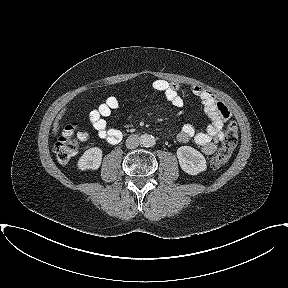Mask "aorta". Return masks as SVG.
<instances>
[{
	"instance_id": "762f6f07",
	"label": "aorta",
	"mask_w": 288,
	"mask_h": 288,
	"mask_svg": "<svg viewBox=\"0 0 288 288\" xmlns=\"http://www.w3.org/2000/svg\"><path fill=\"white\" fill-rule=\"evenodd\" d=\"M140 143L144 146V147H152L155 145L156 140L155 137L149 134H144L140 137Z\"/></svg>"
}]
</instances>
